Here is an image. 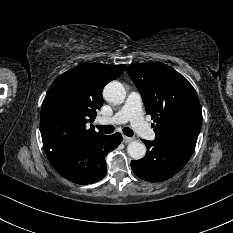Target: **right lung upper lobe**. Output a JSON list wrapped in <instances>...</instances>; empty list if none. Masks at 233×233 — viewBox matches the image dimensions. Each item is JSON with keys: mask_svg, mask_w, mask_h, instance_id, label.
<instances>
[{"mask_svg": "<svg viewBox=\"0 0 233 233\" xmlns=\"http://www.w3.org/2000/svg\"><path fill=\"white\" fill-rule=\"evenodd\" d=\"M125 65L83 64L58 76L41 109L40 131L46 154L102 135L86 127L103 104L104 86L124 72Z\"/></svg>", "mask_w": 233, "mask_h": 233, "instance_id": "obj_1", "label": "right lung upper lobe"}]
</instances>
